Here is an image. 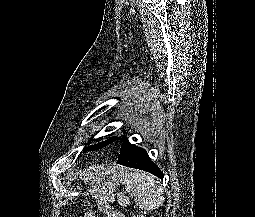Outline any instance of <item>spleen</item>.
I'll use <instances>...</instances> for the list:
<instances>
[{
	"label": "spleen",
	"instance_id": "obj_1",
	"mask_svg": "<svg viewBox=\"0 0 255 217\" xmlns=\"http://www.w3.org/2000/svg\"><path fill=\"white\" fill-rule=\"evenodd\" d=\"M112 179L125 185V192L119 194L120 201L128 205L129 199L125 197L127 192L134 196L139 208L152 211L159 208L164 202V190L160 182L144 172L129 170L124 167L114 166L110 169Z\"/></svg>",
	"mask_w": 255,
	"mask_h": 217
}]
</instances>
